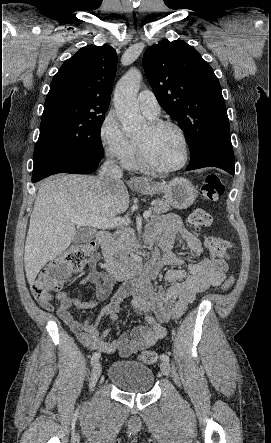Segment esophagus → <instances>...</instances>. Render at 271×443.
I'll use <instances>...</instances> for the list:
<instances>
[{
  "mask_svg": "<svg viewBox=\"0 0 271 443\" xmlns=\"http://www.w3.org/2000/svg\"><path fill=\"white\" fill-rule=\"evenodd\" d=\"M130 182H131V183H136V184H138V183H144V180L141 179V178H139V177H132V178L130 179Z\"/></svg>",
  "mask_w": 271,
  "mask_h": 443,
  "instance_id": "obj_1",
  "label": "esophagus"
}]
</instances>
